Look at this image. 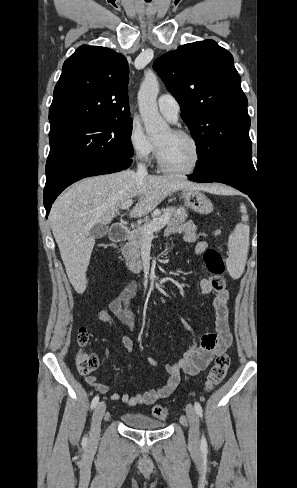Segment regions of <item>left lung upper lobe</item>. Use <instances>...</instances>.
Masks as SVG:
<instances>
[{
	"label": "left lung upper lobe",
	"instance_id": "5c2ea615",
	"mask_svg": "<svg viewBox=\"0 0 297 488\" xmlns=\"http://www.w3.org/2000/svg\"><path fill=\"white\" fill-rule=\"evenodd\" d=\"M153 68L197 142L194 173L230 169L255 179L248 101L231 53L214 40L199 41L163 54Z\"/></svg>",
	"mask_w": 297,
	"mask_h": 488
}]
</instances>
